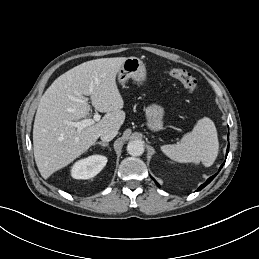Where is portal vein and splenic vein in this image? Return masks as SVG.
<instances>
[{"instance_id": "obj_1", "label": "portal vein and splenic vein", "mask_w": 259, "mask_h": 259, "mask_svg": "<svg viewBox=\"0 0 259 259\" xmlns=\"http://www.w3.org/2000/svg\"><path fill=\"white\" fill-rule=\"evenodd\" d=\"M87 101V99H86ZM101 116L99 113H95L93 119H85L79 122H67V124L77 128V132L79 133L83 128L88 127L95 122H98L100 120Z\"/></svg>"}]
</instances>
